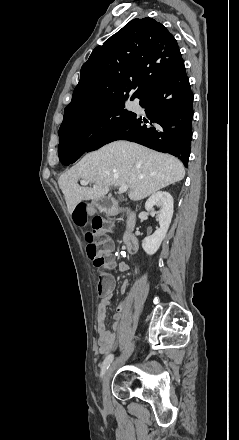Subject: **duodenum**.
<instances>
[{
    "label": "duodenum",
    "instance_id": "obj_1",
    "mask_svg": "<svg viewBox=\"0 0 239 440\" xmlns=\"http://www.w3.org/2000/svg\"><path fill=\"white\" fill-rule=\"evenodd\" d=\"M97 203L99 209L107 215H115L121 210L117 202L110 197H101L98 199ZM124 211L126 213L127 219L123 239L126 249L130 253H134L138 248V239L134 234V228L136 225V214L130 209H125Z\"/></svg>",
    "mask_w": 239,
    "mask_h": 440
}]
</instances>
